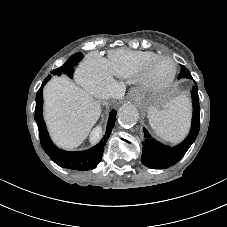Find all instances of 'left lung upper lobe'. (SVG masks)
Instances as JSON below:
<instances>
[{
    "label": "left lung upper lobe",
    "instance_id": "5c2ea615",
    "mask_svg": "<svg viewBox=\"0 0 227 227\" xmlns=\"http://www.w3.org/2000/svg\"><path fill=\"white\" fill-rule=\"evenodd\" d=\"M181 78L192 79L189 70L186 69L185 66H181V71H180V73H179L178 79H181Z\"/></svg>",
    "mask_w": 227,
    "mask_h": 227
}]
</instances>
